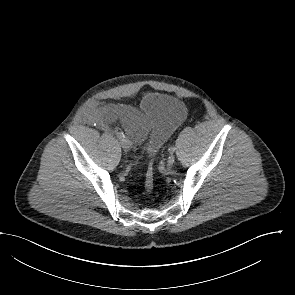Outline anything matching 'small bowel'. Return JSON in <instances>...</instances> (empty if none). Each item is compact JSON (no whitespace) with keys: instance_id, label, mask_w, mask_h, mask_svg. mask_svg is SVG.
Masks as SVG:
<instances>
[{"instance_id":"small-bowel-1","label":"small bowel","mask_w":295,"mask_h":295,"mask_svg":"<svg viewBox=\"0 0 295 295\" xmlns=\"http://www.w3.org/2000/svg\"><path fill=\"white\" fill-rule=\"evenodd\" d=\"M87 119L104 130H108L115 121H120L127 135L136 141L143 140L148 130V121L141 111L123 106L93 107L87 113Z\"/></svg>"}]
</instances>
